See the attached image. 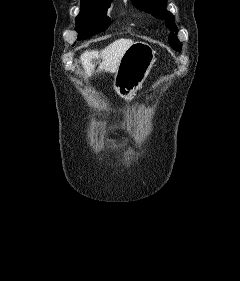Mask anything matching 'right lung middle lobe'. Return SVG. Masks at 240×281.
<instances>
[{
	"instance_id": "1",
	"label": "right lung middle lobe",
	"mask_w": 240,
	"mask_h": 281,
	"mask_svg": "<svg viewBox=\"0 0 240 281\" xmlns=\"http://www.w3.org/2000/svg\"><path fill=\"white\" fill-rule=\"evenodd\" d=\"M109 7V0H81V11L75 19L78 40L106 30L110 24V17L106 16Z\"/></svg>"
}]
</instances>
